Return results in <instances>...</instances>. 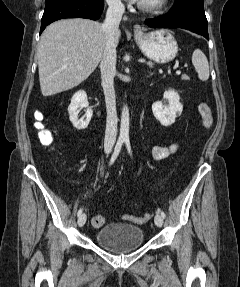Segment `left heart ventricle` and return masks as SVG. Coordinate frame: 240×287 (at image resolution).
<instances>
[{
	"instance_id": "left-heart-ventricle-1",
	"label": "left heart ventricle",
	"mask_w": 240,
	"mask_h": 287,
	"mask_svg": "<svg viewBox=\"0 0 240 287\" xmlns=\"http://www.w3.org/2000/svg\"><path fill=\"white\" fill-rule=\"evenodd\" d=\"M155 0H142V2H145V3H152L154 2Z\"/></svg>"
}]
</instances>
